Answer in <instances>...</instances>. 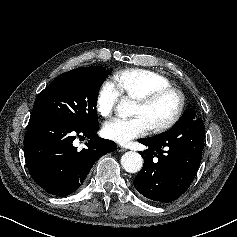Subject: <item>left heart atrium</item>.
I'll return each instance as SVG.
<instances>
[{
	"mask_svg": "<svg viewBox=\"0 0 237 237\" xmlns=\"http://www.w3.org/2000/svg\"><path fill=\"white\" fill-rule=\"evenodd\" d=\"M150 127L143 117L130 119L115 118L105 123L104 136L120 144H127L132 139L144 136Z\"/></svg>",
	"mask_w": 237,
	"mask_h": 237,
	"instance_id": "left-heart-atrium-1",
	"label": "left heart atrium"
}]
</instances>
